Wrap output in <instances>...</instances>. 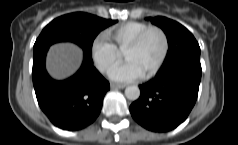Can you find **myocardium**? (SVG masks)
<instances>
[{"instance_id":"myocardium-1","label":"myocardium","mask_w":238,"mask_h":145,"mask_svg":"<svg viewBox=\"0 0 238 145\" xmlns=\"http://www.w3.org/2000/svg\"><path fill=\"white\" fill-rule=\"evenodd\" d=\"M153 31H157L160 33L162 40H163V48H162V52H161L159 59L157 60V62L153 65V67L149 71H147L146 73L143 74L144 77H150V76L154 75L160 69V67L163 65V63L168 55L169 38H168V35L165 32V30L163 28H161L160 26H155V25L149 26L144 31H142L131 43H129V45L124 50V53H125L126 51L134 50V49L138 48L143 43L145 38Z\"/></svg>"}]
</instances>
